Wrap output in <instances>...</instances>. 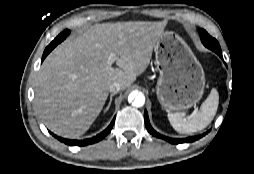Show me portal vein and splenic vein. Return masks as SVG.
I'll use <instances>...</instances> for the list:
<instances>
[{
    "label": "portal vein and splenic vein",
    "mask_w": 254,
    "mask_h": 174,
    "mask_svg": "<svg viewBox=\"0 0 254 174\" xmlns=\"http://www.w3.org/2000/svg\"><path fill=\"white\" fill-rule=\"evenodd\" d=\"M117 59L115 54H111L108 58L109 64H112Z\"/></svg>",
    "instance_id": "obj_1"
}]
</instances>
